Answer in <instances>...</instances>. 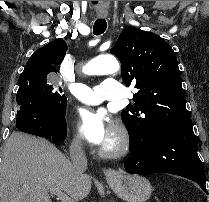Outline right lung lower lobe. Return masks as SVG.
<instances>
[{
  "mask_svg": "<svg viewBox=\"0 0 209 202\" xmlns=\"http://www.w3.org/2000/svg\"><path fill=\"white\" fill-rule=\"evenodd\" d=\"M22 108L17 112L16 127L18 130L40 137L51 136L56 142L67 135L65 116L51 114L31 104L26 96L22 97Z\"/></svg>",
  "mask_w": 209,
  "mask_h": 202,
  "instance_id": "right-lung-lower-lobe-1",
  "label": "right lung lower lobe"
}]
</instances>
